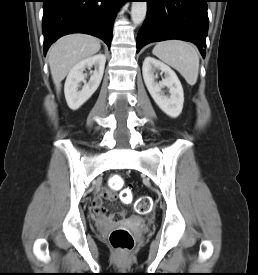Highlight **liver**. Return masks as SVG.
<instances>
[{"instance_id": "1", "label": "liver", "mask_w": 258, "mask_h": 275, "mask_svg": "<svg viewBox=\"0 0 258 275\" xmlns=\"http://www.w3.org/2000/svg\"><path fill=\"white\" fill-rule=\"evenodd\" d=\"M100 41L85 34H71L60 38L48 51V62L57 93L61 90V81L80 61L96 54L100 50Z\"/></svg>"}]
</instances>
